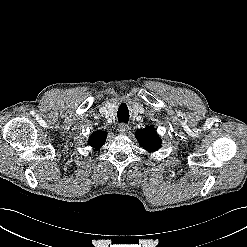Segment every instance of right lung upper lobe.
<instances>
[{
	"label": "right lung upper lobe",
	"instance_id": "1",
	"mask_svg": "<svg viewBox=\"0 0 247 247\" xmlns=\"http://www.w3.org/2000/svg\"><path fill=\"white\" fill-rule=\"evenodd\" d=\"M107 134L103 131L95 132L90 138V144L94 148H100L106 141Z\"/></svg>",
	"mask_w": 247,
	"mask_h": 247
}]
</instances>
